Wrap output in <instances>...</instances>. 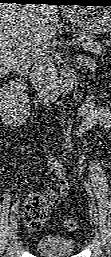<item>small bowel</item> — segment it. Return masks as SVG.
Listing matches in <instances>:
<instances>
[{
	"instance_id": "obj_1",
	"label": "small bowel",
	"mask_w": 111,
	"mask_h": 257,
	"mask_svg": "<svg viewBox=\"0 0 111 257\" xmlns=\"http://www.w3.org/2000/svg\"><path fill=\"white\" fill-rule=\"evenodd\" d=\"M94 114V113H93ZM98 119L94 115L87 118V125H90ZM49 170L57 175L56 186H49L43 195L35 194L31 196L24 206V219L27 225L33 230H38L45 220L46 212L58 205L69 191V184L66 178V172L60 161L50 159L47 163Z\"/></svg>"
}]
</instances>
